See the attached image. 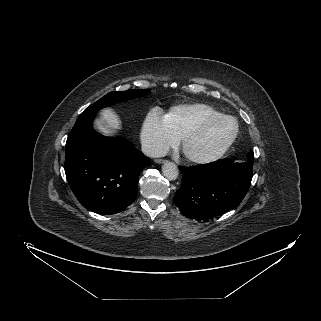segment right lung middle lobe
I'll list each match as a JSON object with an SVG mask.
<instances>
[{"mask_svg": "<svg viewBox=\"0 0 321 321\" xmlns=\"http://www.w3.org/2000/svg\"><path fill=\"white\" fill-rule=\"evenodd\" d=\"M149 93V90L131 89L123 92H110L99 99L94 104L88 106L80 115L92 114L95 115L101 108L109 105L129 100L136 97H141Z\"/></svg>", "mask_w": 321, "mask_h": 321, "instance_id": "obj_1", "label": "right lung middle lobe"}]
</instances>
